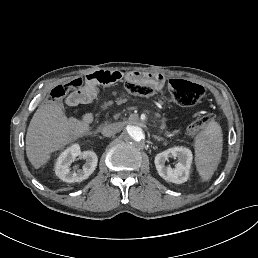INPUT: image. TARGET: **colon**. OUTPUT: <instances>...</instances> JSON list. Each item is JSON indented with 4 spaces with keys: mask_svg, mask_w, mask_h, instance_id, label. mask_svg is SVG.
Wrapping results in <instances>:
<instances>
[{
    "mask_svg": "<svg viewBox=\"0 0 258 258\" xmlns=\"http://www.w3.org/2000/svg\"><path fill=\"white\" fill-rule=\"evenodd\" d=\"M83 84L81 78H75L68 83L56 86L50 93V101L61 100L69 91L79 89ZM125 87L129 93L142 97H149L156 93L155 85L135 79L127 80ZM168 89L173 99L181 106L195 105L205 96V89L203 86L183 79H169ZM211 120H213L212 114L196 118L189 125L188 132L190 134L198 133Z\"/></svg>",
    "mask_w": 258,
    "mask_h": 258,
    "instance_id": "5ec220e1",
    "label": "colon"
}]
</instances>
